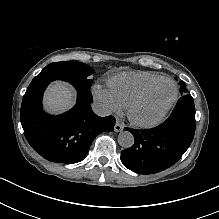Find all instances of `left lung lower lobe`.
Returning <instances> with one entry per match:
<instances>
[{"mask_svg": "<svg viewBox=\"0 0 219 219\" xmlns=\"http://www.w3.org/2000/svg\"><path fill=\"white\" fill-rule=\"evenodd\" d=\"M125 129L133 134L135 143L121 152L123 165L139 174L161 172L182 157L194 138V100L189 94L182 95L169 118L152 129Z\"/></svg>", "mask_w": 219, "mask_h": 219, "instance_id": "obj_1", "label": "left lung lower lobe"}]
</instances>
